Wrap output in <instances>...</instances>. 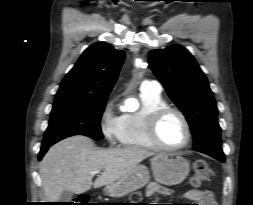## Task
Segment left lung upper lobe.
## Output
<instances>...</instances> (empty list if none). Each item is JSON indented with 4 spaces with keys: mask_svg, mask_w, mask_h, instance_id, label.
<instances>
[{
    "mask_svg": "<svg viewBox=\"0 0 253 205\" xmlns=\"http://www.w3.org/2000/svg\"><path fill=\"white\" fill-rule=\"evenodd\" d=\"M149 65L190 124L193 150L224 159L218 109L205 74L181 45L152 50Z\"/></svg>",
    "mask_w": 253,
    "mask_h": 205,
    "instance_id": "5c2ea615",
    "label": "left lung upper lobe"
}]
</instances>
